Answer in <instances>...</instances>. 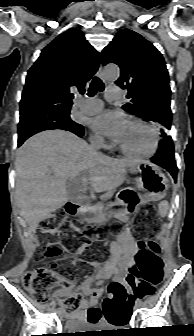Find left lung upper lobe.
Listing matches in <instances>:
<instances>
[{
	"mask_svg": "<svg viewBox=\"0 0 194 336\" xmlns=\"http://www.w3.org/2000/svg\"><path fill=\"white\" fill-rule=\"evenodd\" d=\"M103 65L115 63L121 69L115 82L128 90L123 109L157 125L166 137L171 128L169 76L162 54L138 33L120 30L102 51Z\"/></svg>",
	"mask_w": 194,
	"mask_h": 336,
	"instance_id": "obj_1",
	"label": "left lung upper lobe"
}]
</instances>
